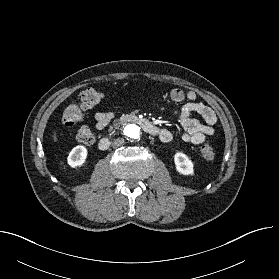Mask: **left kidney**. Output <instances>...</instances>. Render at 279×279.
Listing matches in <instances>:
<instances>
[{"label":"left kidney","mask_w":279,"mask_h":279,"mask_svg":"<svg viewBox=\"0 0 279 279\" xmlns=\"http://www.w3.org/2000/svg\"><path fill=\"white\" fill-rule=\"evenodd\" d=\"M176 170L182 175H193L194 165L184 153L178 152L174 155Z\"/></svg>","instance_id":"left-kidney-1"}]
</instances>
